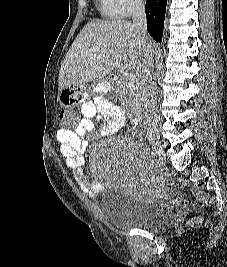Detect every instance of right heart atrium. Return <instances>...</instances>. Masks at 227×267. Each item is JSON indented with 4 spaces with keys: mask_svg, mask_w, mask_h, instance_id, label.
<instances>
[{
    "mask_svg": "<svg viewBox=\"0 0 227 267\" xmlns=\"http://www.w3.org/2000/svg\"><path fill=\"white\" fill-rule=\"evenodd\" d=\"M121 16H129L143 7V0H111Z\"/></svg>",
    "mask_w": 227,
    "mask_h": 267,
    "instance_id": "d8ad5b80",
    "label": "right heart atrium"
}]
</instances>
